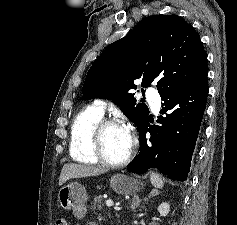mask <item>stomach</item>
Masks as SVG:
<instances>
[{"label":"stomach","mask_w":237,"mask_h":225,"mask_svg":"<svg viewBox=\"0 0 237 225\" xmlns=\"http://www.w3.org/2000/svg\"><path fill=\"white\" fill-rule=\"evenodd\" d=\"M110 186L120 195L135 193L140 182L124 174H115L110 179ZM88 196L85 187L79 182L64 185L58 191V202L66 210H72L74 216L81 218L85 215Z\"/></svg>","instance_id":"0dacf381"}]
</instances>
